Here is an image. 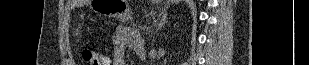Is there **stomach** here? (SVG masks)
I'll list each match as a JSON object with an SVG mask.
<instances>
[{"instance_id":"obj_1","label":"stomach","mask_w":309,"mask_h":65,"mask_svg":"<svg viewBox=\"0 0 309 65\" xmlns=\"http://www.w3.org/2000/svg\"><path fill=\"white\" fill-rule=\"evenodd\" d=\"M93 8L106 17L122 18L128 5L127 0H94Z\"/></svg>"}]
</instances>
